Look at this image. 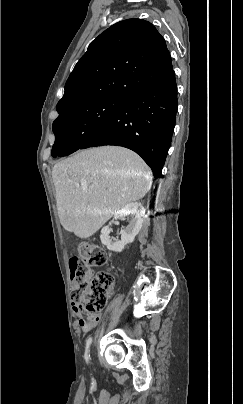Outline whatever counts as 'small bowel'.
Masks as SVG:
<instances>
[{"label":"small bowel","instance_id":"small-bowel-1","mask_svg":"<svg viewBox=\"0 0 243 404\" xmlns=\"http://www.w3.org/2000/svg\"><path fill=\"white\" fill-rule=\"evenodd\" d=\"M73 311H74L75 315L78 317V320H77L78 327L80 329H82L84 332H88L91 329H93L100 320L99 315H95L93 317L88 316L87 319L83 318L82 314L84 312V306L80 303L75 304L73 306Z\"/></svg>","mask_w":243,"mask_h":404}]
</instances>
